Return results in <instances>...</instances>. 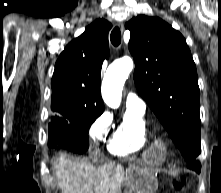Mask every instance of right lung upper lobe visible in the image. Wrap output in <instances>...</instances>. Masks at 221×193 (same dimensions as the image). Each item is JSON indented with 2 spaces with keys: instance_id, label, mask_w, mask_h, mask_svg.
<instances>
[{
  "instance_id": "right-lung-upper-lobe-1",
  "label": "right lung upper lobe",
  "mask_w": 221,
  "mask_h": 193,
  "mask_svg": "<svg viewBox=\"0 0 221 193\" xmlns=\"http://www.w3.org/2000/svg\"><path fill=\"white\" fill-rule=\"evenodd\" d=\"M99 19L72 40L60 54L52 77L51 108L56 117L84 116L104 111L100 95L101 67L109 57L108 31Z\"/></svg>"
}]
</instances>
